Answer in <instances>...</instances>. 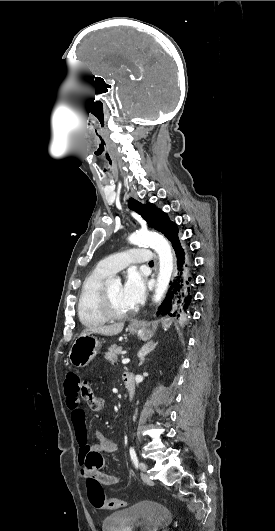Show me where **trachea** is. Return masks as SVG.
<instances>
[{"label": "trachea", "instance_id": "1", "mask_svg": "<svg viewBox=\"0 0 275 531\" xmlns=\"http://www.w3.org/2000/svg\"><path fill=\"white\" fill-rule=\"evenodd\" d=\"M149 265H154L153 261H149Z\"/></svg>", "mask_w": 275, "mask_h": 531}]
</instances>
